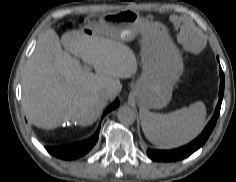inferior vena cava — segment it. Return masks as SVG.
I'll return each mask as SVG.
<instances>
[{
    "label": "inferior vena cava",
    "mask_w": 236,
    "mask_h": 182,
    "mask_svg": "<svg viewBox=\"0 0 236 182\" xmlns=\"http://www.w3.org/2000/svg\"><path fill=\"white\" fill-rule=\"evenodd\" d=\"M113 96V93L110 90H102L100 92V97L104 100L111 99Z\"/></svg>",
    "instance_id": "inferior-vena-cava-1"
}]
</instances>
